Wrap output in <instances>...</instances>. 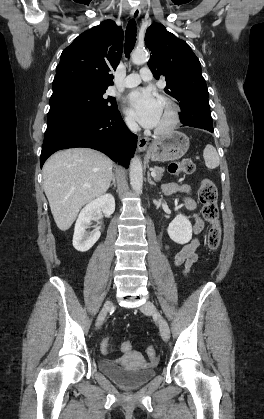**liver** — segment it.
Wrapping results in <instances>:
<instances>
[{
    "label": "liver",
    "mask_w": 264,
    "mask_h": 419,
    "mask_svg": "<svg viewBox=\"0 0 264 419\" xmlns=\"http://www.w3.org/2000/svg\"><path fill=\"white\" fill-rule=\"evenodd\" d=\"M112 167L106 155L89 148L61 150L45 162L43 187L60 230H68L82 206L107 191Z\"/></svg>",
    "instance_id": "obj_1"
}]
</instances>
